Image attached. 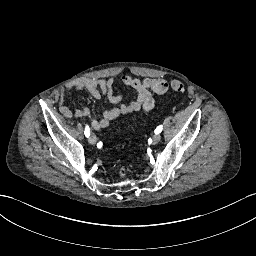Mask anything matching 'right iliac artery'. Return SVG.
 I'll return each instance as SVG.
<instances>
[{
  "label": "right iliac artery",
  "instance_id": "obj_1",
  "mask_svg": "<svg viewBox=\"0 0 256 256\" xmlns=\"http://www.w3.org/2000/svg\"><path fill=\"white\" fill-rule=\"evenodd\" d=\"M84 134H85L86 137H89V136H90V129H89V126H86V127H85Z\"/></svg>",
  "mask_w": 256,
  "mask_h": 256
}]
</instances>
